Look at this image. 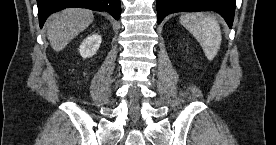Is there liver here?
<instances>
[{
	"instance_id": "1",
	"label": "liver",
	"mask_w": 276,
	"mask_h": 145,
	"mask_svg": "<svg viewBox=\"0 0 276 145\" xmlns=\"http://www.w3.org/2000/svg\"><path fill=\"white\" fill-rule=\"evenodd\" d=\"M93 19L92 11L84 8H68L52 16L47 36L53 50L59 52L64 49Z\"/></svg>"
}]
</instances>
